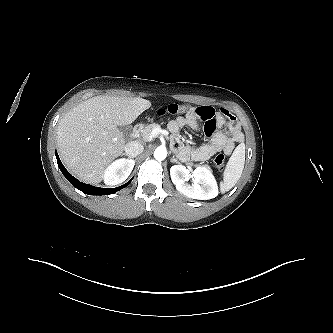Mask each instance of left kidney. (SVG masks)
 Here are the masks:
<instances>
[{
	"instance_id": "5707ae66",
	"label": "left kidney",
	"mask_w": 333,
	"mask_h": 333,
	"mask_svg": "<svg viewBox=\"0 0 333 333\" xmlns=\"http://www.w3.org/2000/svg\"><path fill=\"white\" fill-rule=\"evenodd\" d=\"M170 176L176 189L189 198L208 200L218 195L217 181L206 167H197L191 172L183 165H174L170 169ZM190 179L193 180L192 185L187 183Z\"/></svg>"
}]
</instances>
